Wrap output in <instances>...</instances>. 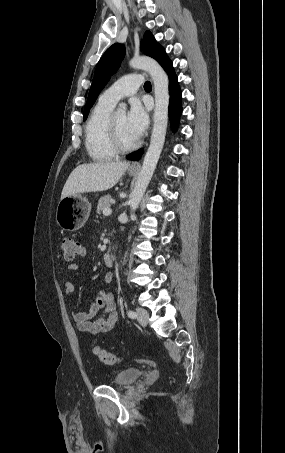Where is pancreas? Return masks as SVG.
I'll return each instance as SVG.
<instances>
[{
  "instance_id": "1",
  "label": "pancreas",
  "mask_w": 285,
  "mask_h": 453,
  "mask_svg": "<svg viewBox=\"0 0 285 453\" xmlns=\"http://www.w3.org/2000/svg\"><path fill=\"white\" fill-rule=\"evenodd\" d=\"M111 200H112V198L110 195H105L102 198H100L97 203V213L100 214L105 209L110 208Z\"/></svg>"
}]
</instances>
